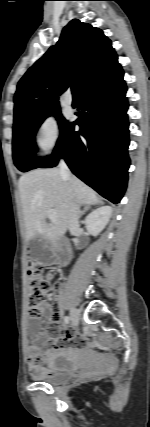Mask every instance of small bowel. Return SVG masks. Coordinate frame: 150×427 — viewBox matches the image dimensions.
Here are the masks:
<instances>
[{"instance_id": "1", "label": "small bowel", "mask_w": 150, "mask_h": 427, "mask_svg": "<svg viewBox=\"0 0 150 427\" xmlns=\"http://www.w3.org/2000/svg\"><path fill=\"white\" fill-rule=\"evenodd\" d=\"M48 315L49 322H56L61 312L60 302H51V310H45ZM44 319L38 318L31 322L29 337L28 353V371L34 377H45L47 375V367L42 365L41 357L42 349L46 345H52L55 348H83L88 340L81 335H61L60 328L55 324L52 326L49 333L43 330Z\"/></svg>"}]
</instances>
